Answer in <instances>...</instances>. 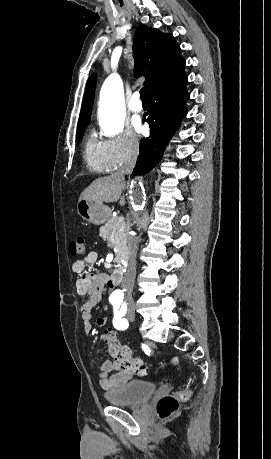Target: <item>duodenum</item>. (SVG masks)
I'll return each instance as SVG.
<instances>
[{
	"mask_svg": "<svg viewBox=\"0 0 271 459\" xmlns=\"http://www.w3.org/2000/svg\"><path fill=\"white\" fill-rule=\"evenodd\" d=\"M123 270L121 267H117L110 276V282L113 285H119L123 280Z\"/></svg>",
	"mask_w": 271,
	"mask_h": 459,
	"instance_id": "obj_1",
	"label": "duodenum"
}]
</instances>
